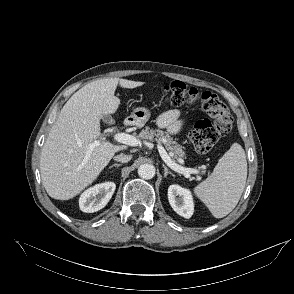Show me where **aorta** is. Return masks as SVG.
I'll return each mask as SVG.
<instances>
[{
  "instance_id": "aorta-1",
  "label": "aorta",
  "mask_w": 294,
  "mask_h": 294,
  "mask_svg": "<svg viewBox=\"0 0 294 294\" xmlns=\"http://www.w3.org/2000/svg\"><path fill=\"white\" fill-rule=\"evenodd\" d=\"M156 169L154 165L145 163L139 166L138 175L145 180L152 179L155 176Z\"/></svg>"
}]
</instances>
